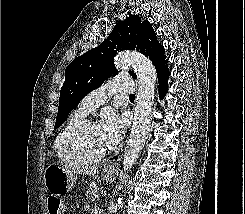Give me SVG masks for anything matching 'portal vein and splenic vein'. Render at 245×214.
<instances>
[{
	"mask_svg": "<svg viewBox=\"0 0 245 214\" xmlns=\"http://www.w3.org/2000/svg\"><path fill=\"white\" fill-rule=\"evenodd\" d=\"M101 195H102V196H105V195H106V192H103V191H102V192H101Z\"/></svg>",
	"mask_w": 245,
	"mask_h": 214,
	"instance_id": "portal-vein-and-splenic-vein-1",
	"label": "portal vein and splenic vein"
}]
</instances>
